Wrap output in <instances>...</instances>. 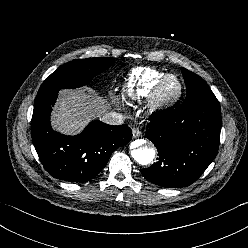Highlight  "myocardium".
Instances as JSON below:
<instances>
[{
    "mask_svg": "<svg viewBox=\"0 0 248 248\" xmlns=\"http://www.w3.org/2000/svg\"><path fill=\"white\" fill-rule=\"evenodd\" d=\"M169 79H175L178 82V91L174 96L166 98L163 96L162 90H163L165 83ZM183 90H184L183 83L177 75L166 74L164 77H162L158 81V83L156 84V86L154 87V89L150 95L151 107L154 110H158V111L167 110V109L173 107L181 99V97L183 95Z\"/></svg>",
    "mask_w": 248,
    "mask_h": 248,
    "instance_id": "obj_1",
    "label": "myocardium"
}]
</instances>
